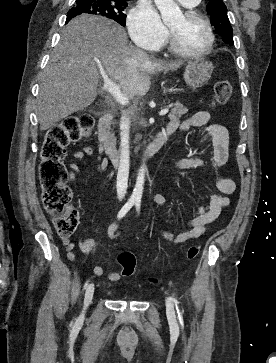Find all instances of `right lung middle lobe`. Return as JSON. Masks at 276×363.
<instances>
[{"instance_id": "right-lung-middle-lobe-1", "label": "right lung middle lobe", "mask_w": 276, "mask_h": 363, "mask_svg": "<svg viewBox=\"0 0 276 363\" xmlns=\"http://www.w3.org/2000/svg\"><path fill=\"white\" fill-rule=\"evenodd\" d=\"M127 2L112 0H76L74 8L68 11L67 17L79 14H92L110 18L125 26L126 15L123 13Z\"/></svg>"}]
</instances>
